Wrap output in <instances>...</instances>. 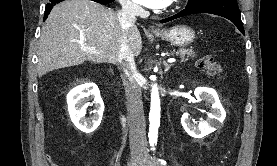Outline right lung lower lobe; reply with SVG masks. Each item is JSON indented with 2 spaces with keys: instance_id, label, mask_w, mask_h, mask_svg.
<instances>
[{
  "instance_id": "1",
  "label": "right lung lower lobe",
  "mask_w": 277,
  "mask_h": 166,
  "mask_svg": "<svg viewBox=\"0 0 277 166\" xmlns=\"http://www.w3.org/2000/svg\"><path fill=\"white\" fill-rule=\"evenodd\" d=\"M61 1H64V0H50V2L47 4L46 8H45V15H44V20L47 18V16L49 15L52 7L54 5H56L57 3L61 2ZM92 1H95L97 3H101V4H104V5H110L112 4V2L114 0H92Z\"/></svg>"
}]
</instances>
